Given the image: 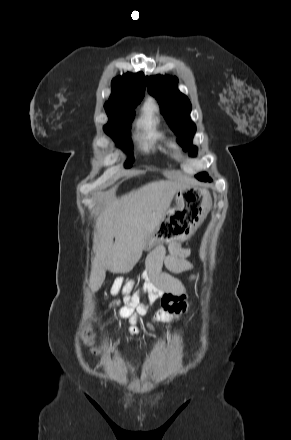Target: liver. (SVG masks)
Wrapping results in <instances>:
<instances>
[{"instance_id": "obj_1", "label": "liver", "mask_w": 291, "mask_h": 440, "mask_svg": "<svg viewBox=\"0 0 291 440\" xmlns=\"http://www.w3.org/2000/svg\"><path fill=\"white\" fill-rule=\"evenodd\" d=\"M182 187L178 182L159 180L119 198H106L93 235L92 290L102 285L106 270L125 273L140 259L148 238Z\"/></svg>"}]
</instances>
